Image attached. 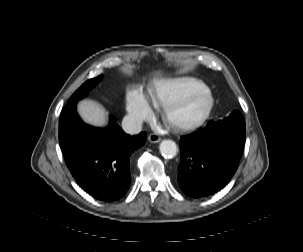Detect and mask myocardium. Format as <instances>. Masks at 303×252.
<instances>
[{"mask_svg":"<svg viewBox=\"0 0 303 252\" xmlns=\"http://www.w3.org/2000/svg\"><path fill=\"white\" fill-rule=\"evenodd\" d=\"M214 103L212 92L207 87L200 86L181 101L165 106V119L168 124L180 130H190L200 126L208 118ZM190 107L196 111L185 117L179 114Z\"/></svg>","mask_w":303,"mask_h":252,"instance_id":"f54148a6","label":"myocardium"}]
</instances>
